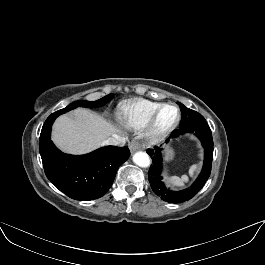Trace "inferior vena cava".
Masks as SVG:
<instances>
[{
	"label": "inferior vena cava",
	"mask_w": 265,
	"mask_h": 265,
	"mask_svg": "<svg viewBox=\"0 0 265 265\" xmlns=\"http://www.w3.org/2000/svg\"><path fill=\"white\" fill-rule=\"evenodd\" d=\"M126 142L125 137L114 134L112 137H109L103 142L104 145H124Z\"/></svg>",
	"instance_id": "1"
}]
</instances>
